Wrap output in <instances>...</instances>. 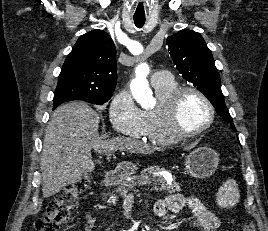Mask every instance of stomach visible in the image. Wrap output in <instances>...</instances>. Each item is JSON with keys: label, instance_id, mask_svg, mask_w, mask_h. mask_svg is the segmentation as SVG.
Listing matches in <instances>:
<instances>
[{"label": "stomach", "instance_id": "stomach-1", "mask_svg": "<svg viewBox=\"0 0 268 231\" xmlns=\"http://www.w3.org/2000/svg\"><path fill=\"white\" fill-rule=\"evenodd\" d=\"M219 163L218 154L207 147H200L185 157L184 170L191 177L202 179L211 176L217 169ZM126 175H131L136 170V166L125 164L122 166Z\"/></svg>", "mask_w": 268, "mask_h": 231}]
</instances>
